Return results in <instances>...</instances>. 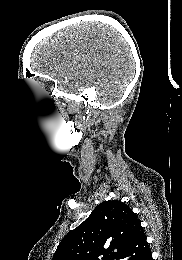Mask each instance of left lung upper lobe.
Instances as JSON below:
<instances>
[{"mask_svg": "<svg viewBox=\"0 0 182 260\" xmlns=\"http://www.w3.org/2000/svg\"><path fill=\"white\" fill-rule=\"evenodd\" d=\"M140 226L125 203L104 201L62 239L52 260H118Z\"/></svg>", "mask_w": 182, "mask_h": 260, "instance_id": "1", "label": "left lung upper lobe"}]
</instances>
